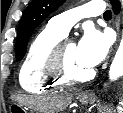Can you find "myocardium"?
Masks as SVG:
<instances>
[{
    "instance_id": "myocardium-1",
    "label": "myocardium",
    "mask_w": 123,
    "mask_h": 113,
    "mask_svg": "<svg viewBox=\"0 0 123 113\" xmlns=\"http://www.w3.org/2000/svg\"><path fill=\"white\" fill-rule=\"evenodd\" d=\"M68 43V40L62 39L55 45L46 62L45 67L47 73L63 85H72L89 81L94 76L93 70H90L83 76H75L69 71L65 61V47Z\"/></svg>"
}]
</instances>
